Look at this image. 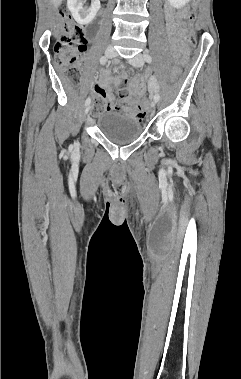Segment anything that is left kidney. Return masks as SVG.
I'll use <instances>...</instances> for the list:
<instances>
[{
    "instance_id": "left-kidney-1",
    "label": "left kidney",
    "mask_w": 241,
    "mask_h": 379,
    "mask_svg": "<svg viewBox=\"0 0 241 379\" xmlns=\"http://www.w3.org/2000/svg\"><path fill=\"white\" fill-rule=\"evenodd\" d=\"M190 0H168L171 6L175 8H181L185 6L186 3H188Z\"/></svg>"
}]
</instances>
